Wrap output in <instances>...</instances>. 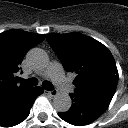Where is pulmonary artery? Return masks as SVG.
Segmentation results:
<instances>
[{
  "instance_id": "obj_1",
  "label": "pulmonary artery",
  "mask_w": 128,
  "mask_h": 128,
  "mask_svg": "<svg viewBox=\"0 0 128 128\" xmlns=\"http://www.w3.org/2000/svg\"><path fill=\"white\" fill-rule=\"evenodd\" d=\"M45 76L51 78L58 89L63 93L69 94L74 91L73 86L69 83L63 73V68L58 62H53L45 71Z\"/></svg>"
}]
</instances>
